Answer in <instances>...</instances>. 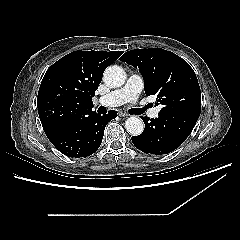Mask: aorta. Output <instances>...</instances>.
<instances>
[{"label": "aorta", "mask_w": 240, "mask_h": 240, "mask_svg": "<svg viewBox=\"0 0 240 240\" xmlns=\"http://www.w3.org/2000/svg\"><path fill=\"white\" fill-rule=\"evenodd\" d=\"M125 79V71L117 65L109 66L103 75L105 84L111 88L121 87L125 83ZM125 128L129 134L138 136L144 130V122L139 117L131 116L126 120Z\"/></svg>", "instance_id": "1"}]
</instances>
